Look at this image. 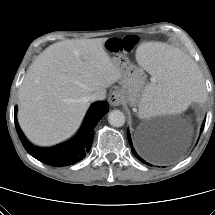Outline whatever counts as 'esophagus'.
Masks as SVG:
<instances>
[{
  "instance_id": "34e87169",
  "label": "esophagus",
  "mask_w": 215,
  "mask_h": 215,
  "mask_svg": "<svg viewBox=\"0 0 215 215\" xmlns=\"http://www.w3.org/2000/svg\"><path fill=\"white\" fill-rule=\"evenodd\" d=\"M123 96L119 90H114L109 96L111 106H119L122 103Z\"/></svg>"
}]
</instances>
